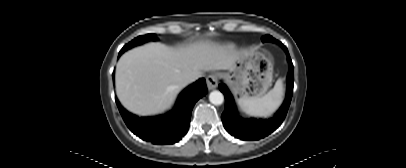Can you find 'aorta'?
I'll return each mask as SVG.
<instances>
[{"mask_svg":"<svg viewBox=\"0 0 406 168\" xmlns=\"http://www.w3.org/2000/svg\"><path fill=\"white\" fill-rule=\"evenodd\" d=\"M209 100L214 105H221L224 101V96L220 91H212L209 95Z\"/></svg>","mask_w":406,"mask_h":168,"instance_id":"1","label":"aorta"}]
</instances>
